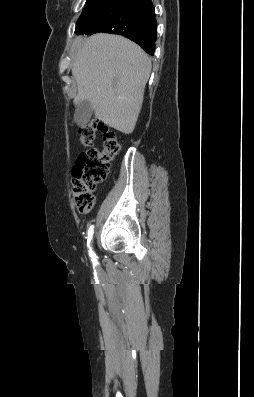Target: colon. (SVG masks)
Masks as SVG:
<instances>
[{
    "label": "colon",
    "instance_id": "1",
    "mask_svg": "<svg viewBox=\"0 0 254 397\" xmlns=\"http://www.w3.org/2000/svg\"><path fill=\"white\" fill-rule=\"evenodd\" d=\"M97 131L103 133V148H90L82 152L73 168V192L76 208L88 213L94 206V190L104 181L110 170V162L120 150L117 134L99 120L93 119L79 128L80 143L89 148Z\"/></svg>",
    "mask_w": 254,
    "mask_h": 397
}]
</instances>
